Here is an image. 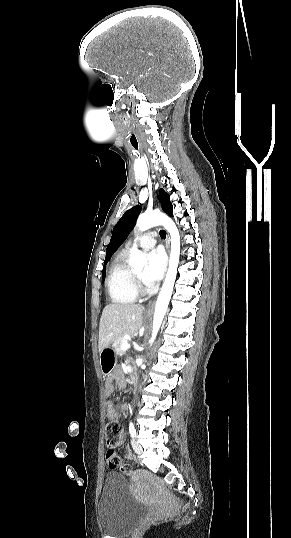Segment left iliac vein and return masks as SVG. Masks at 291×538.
Listing matches in <instances>:
<instances>
[{
  "instance_id": "1",
  "label": "left iliac vein",
  "mask_w": 291,
  "mask_h": 538,
  "mask_svg": "<svg viewBox=\"0 0 291 538\" xmlns=\"http://www.w3.org/2000/svg\"><path fill=\"white\" fill-rule=\"evenodd\" d=\"M131 443H132L133 450L137 454H141L142 453V446L135 439H132Z\"/></svg>"
}]
</instances>
